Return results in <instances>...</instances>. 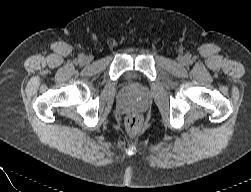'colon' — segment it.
<instances>
[{
	"label": "colon",
	"mask_w": 251,
	"mask_h": 192,
	"mask_svg": "<svg viewBox=\"0 0 251 192\" xmlns=\"http://www.w3.org/2000/svg\"><path fill=\"white\" fill-rule=\"evenodd\" d=\"M126 128L131 133H137L142 127V119L137 114H131L126 118Z\"/></svg>",
	"instance_id": "colon-1"
}]
</instances>
